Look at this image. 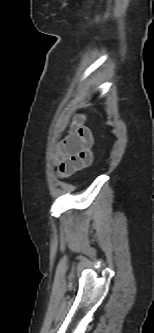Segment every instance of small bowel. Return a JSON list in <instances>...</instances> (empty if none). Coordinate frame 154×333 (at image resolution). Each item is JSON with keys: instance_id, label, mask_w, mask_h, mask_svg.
Masks as SVG:
<instances>
[{"instance_id": "c3829d8e", "label": "small bowel", "mask_w": 154, "mask_h": 333, "mask_svg": "<svg viewBox=\"0 0 154 333\" xmlns=\"http://www.w3.org/2000/svg\"><path fill=\"white\" fill-rule=\"evenodd\" d=\"M94 139L92 131L77 122L73 132L60 143L56 156L59 176L69 177L93 162Z\"/></svg>"}]
</instances>
